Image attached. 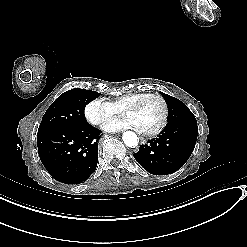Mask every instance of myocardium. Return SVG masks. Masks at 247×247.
<instances>
[{
  "label": "myocardium",
  "instance_id": "myocardium-1",
  "mask_svg": "<svg viewBox=\"0 0 247 247\" xmlns=\"http://www.w3.org/2000/svg\"><path fill=\"white\" fill-rule=\"evenodd\" d=\"M148 98H157L163 104L164 112H163V118H162L161 124L153 130L144 131V133L147 135H157L165 128L167 121H168V118H169V114H170L169 104H168V101L166 100V98L163 95H161L160 93H146L143 96H141L140 98L135 99L133 101V103L130 105V108L133 112L138 110L141 103L145 99H148Z\"/></svg>",
  "mask_w": 247,
  "mask_h": 247
}]
</instances>
